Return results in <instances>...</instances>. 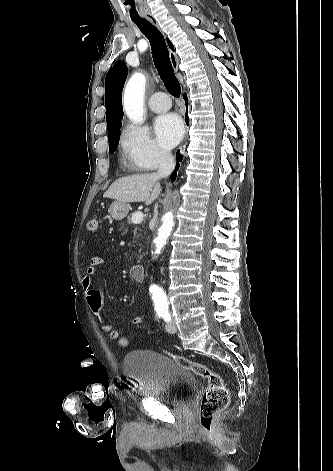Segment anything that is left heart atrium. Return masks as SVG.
<instances>
[{
  "instance_id": "1",
  "label": "left heart atrium",
  "mask_w": 333,
  "mask_h": 471,
  "mask_svg": "<svg viewBox=\"0 0 333 471\" xmlns=\"http://www.w3.org/2000/svg\"><path fill=\"white\" fill-rule=\"evenodd\" d=\"M154 129L159 142L166 148L173 147L183 135V124L175 114H165L158 117Z\"/></svg>"
}]
</instances>
